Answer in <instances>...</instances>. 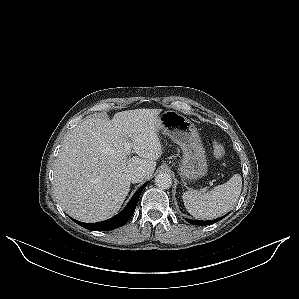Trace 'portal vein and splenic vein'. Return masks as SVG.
Instances as JSON below:
<instances>
[{"label": "portal vein and splenic vein", "instance_id": "obj_1", "mask_svg": "<svg viewBox=\"0 0 299 299\" xmlns=\"http://www.w3.org/2000/svg\"><path fill=\"white\" fill-rule=\"evenodd\" d=\"M126 151H127V155H130V153H131V149H130V146H129V145L126 146Z\"/></svg>", "mask_w": 299, "mask_h": 299}]
</instances>
